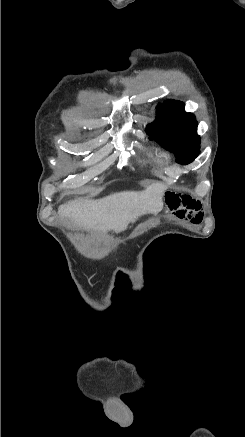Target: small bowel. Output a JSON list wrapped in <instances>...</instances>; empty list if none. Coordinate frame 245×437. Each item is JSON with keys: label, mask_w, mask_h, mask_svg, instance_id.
<instances>
[{"label": "small bowel", "mask_w": 245, "mask_h": 437, "mask_svg": "<svg viewBox=\"0 0 245 437\" xmlns=\"http://www.w3.org/2000/svg\"><path fill=\"white\" fill-rule=\"evenodd\" d=\"M165 208L177 217L192 223L202 220V207L199 201L181 193L169 192L165 196Z\"/></svg>", "instance_id": "c3829d8e"}]
</instances>
